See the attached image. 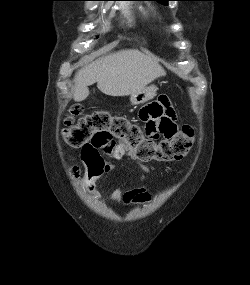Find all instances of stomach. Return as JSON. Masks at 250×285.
I'll list each match as a JSON object with an SVG mask.
<instances>
[{"instance_id":"0dacf381","label":"stomach","mask_w":250,"mask_h":285,"mask_svg":"<svg viewBox=\"0 0 250 285\" xmlns=\"http://www.w3.org/2000/svg\"><path fill=\"white\" fill-rule=\"evenodd\" d=\"M157 87L154 85L146 86L139 92L130 95V101L133 105L144 104L156 96Z\"/></svg>"}]
</instances>
